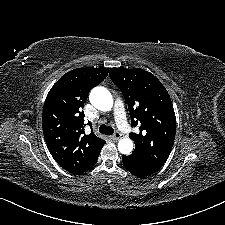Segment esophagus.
Listing matches in <instances>:
<instances>
[{
  "label": "esophagus",
  "instance_id": "esophagus-1",
  "mask_svg": "<svg viewBox=\"0 0 225 225\" xmlns=\"http://www.w3.org/2000/svg\"><path fill=\"white\" fill-rule=\"evenodd\" d=\"M111 140L117 141L121 138V134L119 132H116L114 135L110 136Z\"/></svg>",
  "mask_w": 225,
  "mask_h": 225
}]
</instances>
